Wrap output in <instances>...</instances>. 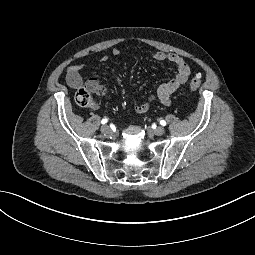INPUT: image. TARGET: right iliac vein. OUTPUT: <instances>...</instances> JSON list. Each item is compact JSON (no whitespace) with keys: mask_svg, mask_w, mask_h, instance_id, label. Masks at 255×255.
Here are the masks:
<instances>
[{"mask_svg":"<svg viewBox=\"0 0 255 255\" xmlns=\"http://www.w3.org/2000/svg\"><path fill=\"white\" fill-rule=\"evenodd\" d=\"M101 132L103 134L109 135V134L112 133V130L108 125H104V126L101 127Z\"/></svg>","mask_w":255,"mask_h":255,"instance_id":"right-iliac-vein-1","label":"right iliac vein"}]
</instances>
